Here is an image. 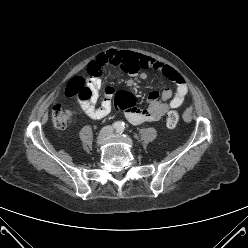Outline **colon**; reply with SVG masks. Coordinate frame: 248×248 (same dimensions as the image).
I'll use <instances>...</instances> for the list:
<instances>
[{
	"label": "colon",
	"mask_w": 248,
	"mask_h": 248,
	"mask_svg": "<svg viewBox=\"0 0 248 248\" xmlns=\"http://www.w3.org/2000/svg\"><path fill=\"white\" fill-rule=\"evenodd\" d=\"M103 72L101 66H90L88 68V74L91 77H100ZM65 94L69 98H76L81 101L90 99L92 91L88 85V81L84 76H76L72 78L67 87ZM115 104L118 108L127 110L134 102L130 94L126 92H120L115 97ZM74 112L70 109L63 108L61 103L56 104L53 107L52 119L57 128H65L72 120ZM179 120V114L176 110H171L166 117V124L168 127L173 128L177 125Z\"/></svg>",
	"instance_id": "colon-1"
}]
</instances>
